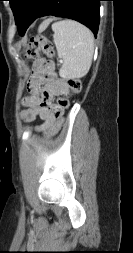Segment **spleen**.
I'll return each instance as SVG.
<instances>
[{"mask_svg":"<svg viewBox=\"0 0 133 253\" xmlns=\"http://www.w3.org/2000/svg\"><path fill=\"white\" fill-rule=\"evenodd\" d=\"M52 30L58 57L63 59L59 75L63 79L84 77L91 67L94 53L92 32L73 20L55 22Z\"/></svg>","mask_w":133,"mask_h":253,"instance_id":"spleen-1","label":"spleen"}]
</instances>
